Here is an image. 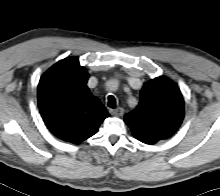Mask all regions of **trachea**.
<instances>
[{"label": "trachea", "instance_id": "1", "mask_svg": "<svg viewBox=\"0 0 220 196\" xmlns=\"http://www.w3.org/2000/svg\"><path fill=\"white\" fill-rule=\"evenodd\" d=\"M108 106L110 108H115L116 107V99L112 95L108 96Z\"/></svg>", "mask_w": 220, "mask_h": 196}]
</instances>
